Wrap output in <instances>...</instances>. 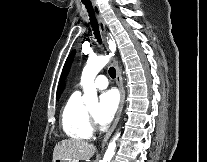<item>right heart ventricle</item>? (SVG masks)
I'll return each instance as SVG.
<instances>
[{
    "mask_svg": "<svg viewBox=\"0 0 207 162\" xmlns=\"http://www.w3.org/2000/svg\"><path fill=\"white\" fill-rule=\"evenodd\" d=\"M60 123L66 135L73 139L88 140L91 138L92 129L88 111L79 92L72 93L68 98L61 113Z\"/></svg>",
    "mask_w": 207,
    "mask_h": 162,
    "instance_id": "right-heart-ventricle-1",
    "label": "right heart ventricle"
}]
</instances>
